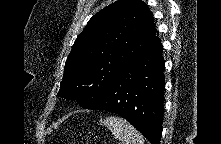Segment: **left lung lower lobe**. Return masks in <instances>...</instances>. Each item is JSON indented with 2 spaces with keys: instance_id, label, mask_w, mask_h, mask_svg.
<instances>
[{
  "instance_id": "0a47b994",
  "label": "left lung lower lobe",
  "mask_w": 221,
  "mask_h": 144,
  "mask_svg": "<svg viewBox=\"0 0 221 144\" xmlns=\"http://www.w3.org/2000/svg\"><path fill=\"white\" fill-rule=\"evenodd\" d=\"M162 51L159 37L154 36L88 109L116 113L129 121L151 144H159L165 85Z\"/></svg>"
}]
</instances>
